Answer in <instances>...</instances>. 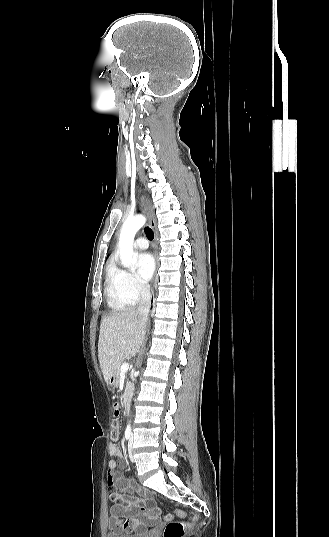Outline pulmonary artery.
Masks as SVG:
<instances>
[{
	"label": "pulmonary artery",
	"mask_w": 329,
	"mask_h": 537,
	"mask_svg": "<svg viewBox=\"0 0 329 537\" xmlns=\"http://www.w3.org/2000/svg\"><path fill=\"white\" fill-rule=\"evenodd\" d=\"M134 247L138 250H145L148 248V241L145 238H138L134 242Z\"/></svg>",
	"instance_id": "obj_1"
}]
</instances>
